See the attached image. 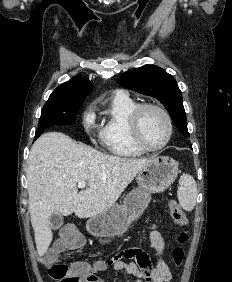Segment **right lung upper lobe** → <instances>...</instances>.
Returning a JSON list of instances; mask_svg holds the SVG:
<instances>
[{
    "mask_svg": "<svg viewBox=\"0 0 232 282\" xmlns=\"http://www.w3.org/2000/svg\"><path fill=\"white\" fill-rule=\"evenodd\" d=\"M93 85L88 79H75L59 85L48 100L83 98L90 94Z\"/></svg>",
    "mask_w": 232,
    "mask_h": 282,
    "instance_id": "cb5924a9",
    "label": "right lung upper lobe"
}]
</instances>
